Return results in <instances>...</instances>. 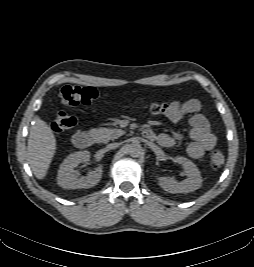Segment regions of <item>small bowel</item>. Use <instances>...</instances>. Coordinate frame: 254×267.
<instances>
[{"label": "small bowel", "instance_id": "c3829d8e", "mask_svg": "<svg viewBox=\"0 0 254 267\" xmlns=\"http://www.w3.org/2000/svg\"><path fill=\"white\" fill-rule=\"evenodd\" d=\"M202 110L203 106L199 100L190 99L185 102H172L166 112V117L174 123L181 122L186 116H189L191 129L188 137L191 142L187 147V153L194 159H199L207 151L212 150L217 141L216 136L211 132L210 124L202 113ZM153 135L154 139L163 147L170 148L178 142L177 138L166 133L158 135L153 133Z\"/></svg>", "mask_w": 254, "mask_h": 267}]
</instances>
